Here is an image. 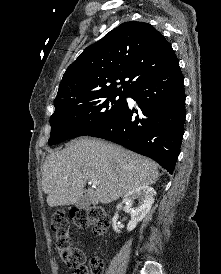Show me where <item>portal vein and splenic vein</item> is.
<instances>
[{
    "label": "portal vein and splenic vein",
    "instance_id": "obj_1",
    "mask_svg": "<svg viewBox=\"0 0 221 274\" xmlns=\"http://www.w3.org/2000/svg\"><path fill=\"white\" fill-rule=\"evenodd\" d=\"M99 182L95 179L90 180L89 184H92L93 187H95Z\"/></svg>",
    "mask_w": 221,
    "mask_h": 274
}]
</instances>
